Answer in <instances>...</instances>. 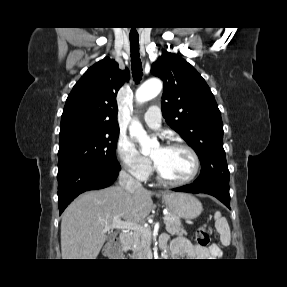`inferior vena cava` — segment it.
<instances>
[{"label": "inferior vena cava", "mask_w": 287, "mask_h": 287, "mask_svg": "<svg viewBox=\"0 0 287 287\" xmlns=\"http://www.w3.org/2000/svg\"><path fill=\"white\" fill-rule=\"evenodd\" d=\"M119 185L124 187L128 192L143 189L142 184L124 170L120 171L119 173Z\"/></svg>", "instance_id": "inferior-vena-cava-1"}]
</instances>
